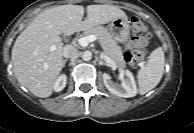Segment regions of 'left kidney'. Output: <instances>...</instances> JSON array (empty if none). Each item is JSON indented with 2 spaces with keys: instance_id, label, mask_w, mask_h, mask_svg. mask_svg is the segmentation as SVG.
Wrapping results in <instances>:
<instances>
[{
  "instance_id": "1",
  "label": "left kidney",
  "mask_w": 194,
  "mask_h": 133,
  "mask_svg": "<svg viewBox=\"0 0 194 133\" xmlns=\"http://www.w3.org/2000/svg\"><path fill=\"white\" fill-rule=\"evenodd\" d=\"M121 84L114 83L111 76L107 73L103 74L104 85L112 94L119 97L129 98L137 94V87L132 73L128 70L123 71Z\"/></svg>"
}]
</instances>
